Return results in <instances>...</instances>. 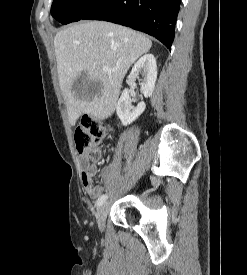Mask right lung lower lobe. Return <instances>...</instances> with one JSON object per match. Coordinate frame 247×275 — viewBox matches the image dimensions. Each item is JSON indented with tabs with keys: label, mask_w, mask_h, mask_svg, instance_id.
Masks as SVG:
<instances>
[{
	"label": "right lung lower lobe",
	"mask_w": 247,
	"mask_h": 275,
	"mask_svg": "<svg viewBox=\"0 0 247 275\" xmlns=\"http://www.w3.org/2000/svg\"><path fill=\"white\" fill-rule=\"evenodd\" d=\"M179 7L180 0H102L82 19L131 27L154 36L171 50Z\"/></svg>",
	"instance_id": "right-lung-lower-lobe-1"
}]
</instances>
